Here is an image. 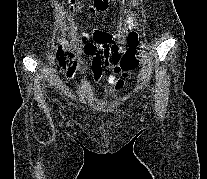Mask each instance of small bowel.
<instances>
[{"mask_svg": "<svg viewBox=\"0 0 207 179\" xmlns=\"http://www.w3.org/2000/svg\"><path fill=\"white\" fill-rule=\"evenodd\" d=\"M98 31H99V30H96L95 32H98ZM95 32H94V33H95ZM87 37H89L88 34H86V35L83 36L84 39H86Z\"/></svg>", "mask_w": 207, "mask_h": 179, "instance_id": "c3829d8e", "label": "small bowel"}]
</instances>
